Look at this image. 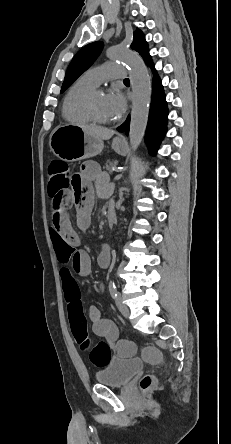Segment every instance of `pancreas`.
I'll return each instance as SVG.
<instances>
[{"mask_svg": "<svg viewBox=\"0 0 231 444\" xmlns=\"http://www.w3.org/2000/svg\"><path fill=\"white\" fill-rule=\"evenodd\" d=\"M115 166H116V162L111 161V160H107V161L105 162V166H104V168L107 169V170H109V171H111Z\"/></svg>", "mask_w": 231, "mask_h": 444, "instance_id": "pancreas-1", "label": "pancreas"}]
</instances>
